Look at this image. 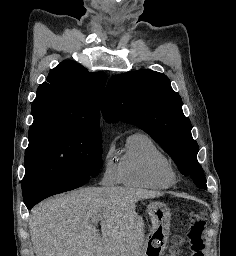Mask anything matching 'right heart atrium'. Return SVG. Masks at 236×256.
Returning a JSON list of instances; mask_svg holds the SVG:
<instances>
[{
	"label": "right heart atrium",
	"mask_w": 236,
	"mask_h": 256,
	"mask_svg": "<svg viewBox=\"0 0 236 256\" xmlns=\"http://www.w3.org/2000/svg\"><path fill=\"white\" fill-rule=\"evenodd\" d=\"M101 183L106 186H113L120 183L119 163L115 160L112 147H109L103 155Z\"/></svg>",
	"instance_id": "1"
}]
</instances>
